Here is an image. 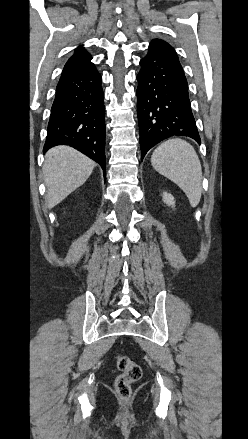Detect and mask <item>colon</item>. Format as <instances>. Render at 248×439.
<instances>
[{
    "instance_id": "colon-1",
    "label": "colon",
    "mask_w": 248,
    "mask_h": 439,
    "mask_svg": "<svg viewBox=\"0 0 248 439\" xmlns=\"http://www.w3.org/2000/svg\"><path fill=\"white\" fill-rule=\"evenodd\" d=\"M121 373L115 380V390L121 400H128L131 396V385L142 376L141 367L125 355H118L115 359Z\"/></svg>"
}]
</instances>
